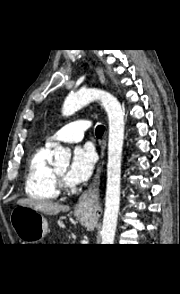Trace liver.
Returning a JSON list of instances; mask_svg holds the SVG:
<instances>
[{
  "label": "liver",
  "mask_w": 180,
  "mask_h": 294,
  "mask_svg": "<svg viewBox=\"0 0 180 294\" xmlns=\"http://www.w3.org/2000/svg\"><path fill=\"white\" fill-rule=\"evenodd\" d=\"M17 204L30 207L35 211L42 212L46 215H57L61 211L66 212L70 209L68 206L59 203L33 199H20L17 201Z\"/></svg>",
  "instance_id": "obj_1"
}]
</instances>
